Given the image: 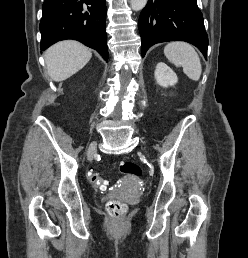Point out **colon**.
<instances>
[{"label":"colon","instance_id":"5ec220e1","mask_svg":"<svg viewBox=\"0 0 248 258\" xmlns=\"http://www.w3.org/2000/svg\"><path fill=\"white\" fill-rule=\"evenodd\" d=\"M119 168L122 173L130 175L134 178H140L142 176L141 167L134 162H123L120 164ZM90 180L100 190H106L109 186V182L98 172H91ZM126 209V204L119 200L110 199L107 202V210L114 218H121L125 214Z\"/></svg>","mask_w":248,"mask_h":258}]
</instances>
